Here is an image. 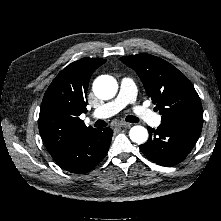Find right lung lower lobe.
<instances>
[{"instance_id": "obj_1", "label": "right lung lower lobe", "mask_w": 221, "mask_h": 221, "mask_svg": "<svg viewBox=\"0 0 221 221\" xmlns=\"http://www.w3.org/2000/svg\"><path fill=\"white\" fill-rule=\"evenodd\" d=\"M112 135L111 128L94 129L77 143L54 157V160L69 172L86 173L106 156Z\"/></svg>"}]
</instances>
